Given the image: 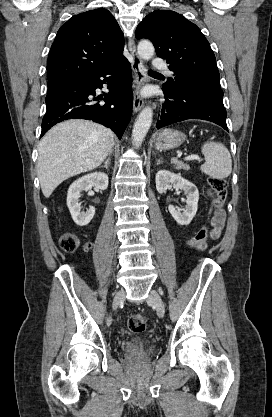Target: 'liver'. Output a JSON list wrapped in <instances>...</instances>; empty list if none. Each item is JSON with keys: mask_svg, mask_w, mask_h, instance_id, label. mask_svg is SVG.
<instances>
[{"mask_svg": "<svg viewBox=\"0 0 272 417\" xmlns=\"http://www.w3.org/2000/svg\"><path fill=\"white\" fill-rule=\"evenodd\" d=\"M113 142L109 129L87 120H68L50 129L38 147L37 172L43 195L49 198L66 179L97 168Z\"/></svg>", "mask_w": 272, "mask_h": 417, "instance_id": "1", "label": "liver"}]
</instances>
